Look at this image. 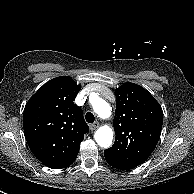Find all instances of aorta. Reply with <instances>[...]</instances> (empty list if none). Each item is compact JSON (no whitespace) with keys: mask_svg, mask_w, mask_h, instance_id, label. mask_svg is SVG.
<instances>
[{"mask_svg":"<svg viewBox=\"0 0 194 194\" xmlns=\"http://www.w3.org/2000/svg\"><path fill=\"white\" fill-rule=\"evenodd\" d=\"M94 112L102 119L109 118L111 107L108 102L102 98H97L92 103ZM95 141L100 147L109 148L113 141V130L109 126H101L94 135Z\"/></svg>","mask_w":194,"mask_h":194,"instance_id":"762f6f07","label":"aorta"}]
</instances>
